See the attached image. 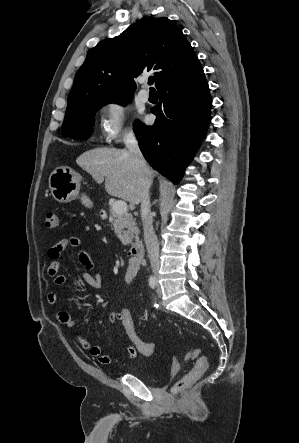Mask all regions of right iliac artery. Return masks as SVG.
Returning a JSON list of instances; mask_svg holds the SVG:
<instances>
[{
  "mask_svg": "<svg viewBox=\"0 0 299 443\" xmlns=\"http://www.w3.org/2000/svg\"><path fill=\"white\" fill-rule=\"evenodd\" d=\"M156 284H157V280H156L155 276H151V277L149 278V286H150L151 288H155V287H156Z\"/></svg>",
  "mask_w": 299,
  "mask_h": 443,
  "instance_id": "82829eb1",
  "label": "right iliac artery"
}]
</instances>
